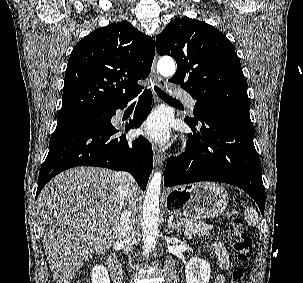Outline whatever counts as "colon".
<instances>
[{
	"label": "colon",
	"mask_w": 303,
	"mask_h": 283,
	"mask_svg": "<svg viewBox=\"0 0 303 283\" xmlns=\"http://www.w3.org/2000/svg\"><path fill=\"white\" fill-rule=\"evenodd\" d=\"M231 246L236 254V258L240 263L246 262L252 248V240L248 235L243 221L240 218L233 217L230 226ZM243 269L236 268L232 272L231 283H242ZM79 283H86L80 281Z\"/></svg>",
	"instance_id": "colon-1"
}]
</instances>
